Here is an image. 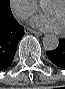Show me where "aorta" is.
Here are the masks:
<instances>
[{
  "label": "aorta",
  "instance_id": "1",
  "mask_svg": "<svg viewBox=\"0 0 65 89\" xmlns=\"http://www.w3.org/2000/svg\"><path fill=\"white\" fill-rule=\"evenodd\" d=\"M43 47L47 51L55 50L59 45V39L54 34H46L42 40Z\"/></svg>",
  "mask_w": 65,
  "mask_h": 89
}]
</instances>
